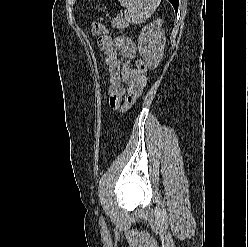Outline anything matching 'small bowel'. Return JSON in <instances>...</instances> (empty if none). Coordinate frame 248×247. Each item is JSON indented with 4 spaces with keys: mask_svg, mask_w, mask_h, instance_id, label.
I'll return each instance as SVG.
<instances>
[{
    "mask_svg": "<svg viewBox=\"0 0 248 247\" xmlns=\"http://www.w3.org/2000/svg\"><path fill=\"white\" fill-rule=\"evenodd\" d=\"M98 45L104 54L107 70L109 105L112 109L126 110L142 94L145 82L129 63L137 56L136 45L126 37L108 36L100 37ZM120 57L126 62H122Z\"/></svg>",
    "mask_w": 248,
    "mask_h": 247,
    "instance_id": "1",
    "label": "small bowel"
}]
</instances>
